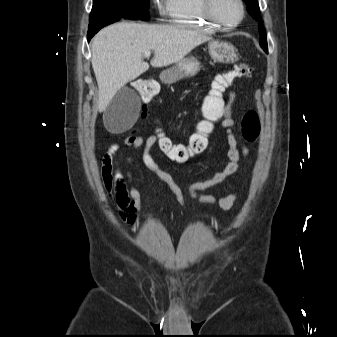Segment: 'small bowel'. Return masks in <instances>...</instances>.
<instances>
[{
  "label": "small bowel",
  "mask_w": 337,
  "mask_h": 337,
  "mask_svg": "<svg viewBox=\"0 0 337 337\" xmlns=\"http://www.w3.org/2000/svg\"><path fill=\"white\" fill-rule=\"evenodd\" d=\"M235 94L231 93L229 101L223 108L221 127L226 133L228 143L227 157L228 163L223 170L214 173L211 177L192 183L188 187V195L200 203L217 204L222 210L231 209L237 202V193L227 194L216 198L211 194L202 192L212 188L237 172L241 156H248V148L241 144L232 132L235 126L233 117ZM156 134L150 135L146 139L141 136L131 135L125 139V145L133 151L142 149L141 160L151 172H153L162 182H164L174 194L179 205L185 207V198L181 187L176 183L173 176L163 170L155 160L152 150L159 143ZM132 154L125 157L124 163L129 165L133 162ZM101 177L107 198L111 204L118 208L119 219L129 225L137 223V213L141 208V194L133 184L132 172L123 169L117 157V147H111L101 159Z\"/></svg>",
  "instance_id": "small-bowel-1"
}]
</instances>
